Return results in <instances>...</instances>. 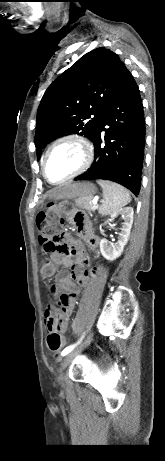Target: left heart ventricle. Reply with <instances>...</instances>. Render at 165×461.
Listing matches in <instances>:
<instances>
[{
  "label": "left heart ventricle",
  "mask_w": 165,
  "mask_h": 461,
  "mask_svg": "<svg viewBox=\"0 0 165 461\" xmlns=\"http://www.w3.org/2000/svg\"><path fill=\"white\" fill-rule=\"evenodd\" d=\"M82 162V153L77 145L63 143L56 146L46 160V171L52 181H58L73 172Z\"/></svg>",
  "instance_id": "left-heart-ventricle-1"
}]
</instances>
